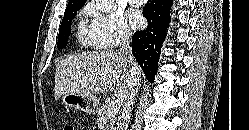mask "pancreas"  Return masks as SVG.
Masks as SVG:
<instances>
[{"label":"pancreas","instance_id":"pancreas-1","mask_svg":"<svg viewBox=\"0 0 249 130\" xmlns=\"http://www.w3.org/2000/svg\"><path fill=\"white\" fill-rule=\"evenodd\" d=\"M108 106H101L97 109V119L99 130H115L114 125L116 122V115L107 114Z\"/></svg>","mask_w":249,"mask_h":130}]
</instances>
